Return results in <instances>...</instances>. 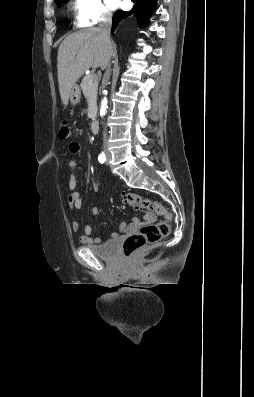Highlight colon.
<instances>
[{
	"label": "colon",
	"instance_id": "5ec220e1",
	"mask_svg": "<svg viewBox=\"0 0 254 397\" xmlns=\"http://www.w3.org/2000/svg\"><path fill=\"white\" fill-rule=\"evenodd\" d=\"M59 138L70 137V128L66 121L59 124ZM125 202L147 213H154L163 217L156 224L142 226L137 232L127 236L123 243V254L126 258L132 257L142 248L155 244L167 236L171 231L172 214L159 202L136 193L124 194Z\"/></svg>",
	"mask_w": 254,
	"mask_h": 397
}]
</instances>
